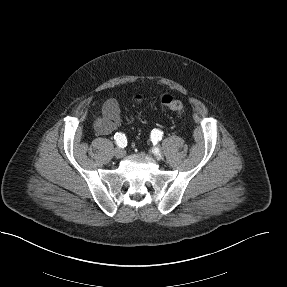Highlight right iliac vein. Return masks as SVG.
Wrapping results in <instances>:
<instances>
[{
	"label": "right iliac vein",
	"mask_w": 287,
	"mask_h": 287,
	"mask_svg": "<svg viewBox=\"0 0 287 287\" xmlns=\"http://www.w3.org/2000/svg\"><path fill=\"white\" fill-rule=\"evenodd\" d=\"M114 156L118 159L123 158L125 156V151L121 148H116L114 150Z\"/></svg>",
	"instance_id": "right-iliac-vein-1"
}]
</instances>
